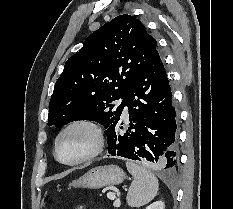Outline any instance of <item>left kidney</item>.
I'll list each match as a JSON object with an SVG mask.
<instances>
[{"mask_svg":"<svg viewBox=\"0 0 233 209\" xmlns=\"http://www.w3.org/2000/svg\"><path fill=\"white\" fill-rule=\"evenodd\" d=\"M146 209H164V202L156 201L150 204L149 206H147Z\"/></svg>","mask_w":233,"mask_h":209,"instance_id":"obj_1","label":"left kidney"}]
</instances>
